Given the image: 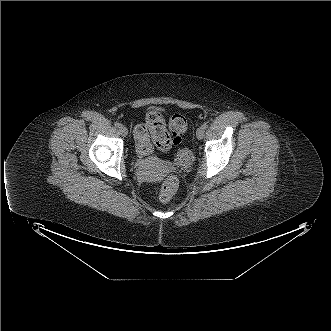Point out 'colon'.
Listing matches in <instances>:
<instances>
[{"instance_id":"colon-1","label":"colon","mask_w":331,"mask_h":331,"mask_svg":"<svg viewBox=\"0 0 331 331\" xmlns=\"http://www.w3.org/2000/svg\"><path fill=\"white\" fill-rule=\"evenodd\" d=\"M145 122L151 132L155 146L161 151L169 150L172 144H180L188 127L187 119L182 114H174L171 116L169 120L170 133L166 128L162 116L158 112H148L145 116ZM147 127L145 125H139L135 129L136 134L140 138L141 145L147 143ZM175 159L180 165L187 166L192 161V154L187 149H182L176 154ZM176 188L177 180L173 176L167 177L159 191V201L163 203L169 202Z\"/></svg>"}]
</instances>
